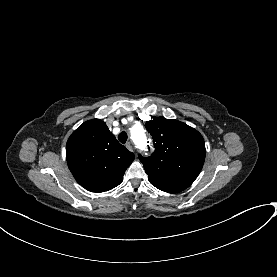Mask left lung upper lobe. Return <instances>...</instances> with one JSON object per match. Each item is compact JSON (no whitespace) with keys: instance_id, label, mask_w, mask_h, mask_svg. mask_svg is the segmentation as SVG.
I'll list each match as a JSON object with an SVG mask.
<instances>
[{"instance_id":"obj_1","label":"left lung upper lobe","mask_w":277,"mask_h":277,"mask_svg":"<svg viewBox=\"0 0 277 277\" xmlns=\"http://www.w3.org/2000/svg\"><path fill=\"white\" fill-rule=\"evenodd\" d=\"M155 152L147 158L139 156L149 182L169 193L188 188L199 175L206 155L201 134L177 120L163 117L146 122Z\"/></svg>"}]
</instances>
